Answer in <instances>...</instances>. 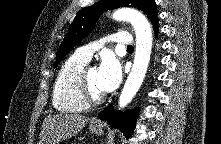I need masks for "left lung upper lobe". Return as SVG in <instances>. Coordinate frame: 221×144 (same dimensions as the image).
<instances>
[{"label": "left lung upper lobe", "instance_id": "5c2ea615", "mask_svg": "<svg viewBox=\"0 0 221 144\" xmlns=\"http://www.w3.org/2000/svg\"><path fill=\"white\" fill-rule=\"evenodd\" d=\"M119 7H134L143 11L154 23L157 18L154 0H100L92 6L81 9L70 25L62 44L59 47L55 66L69 53L74 45L86 37L102 12Z\"/></svg>", "mask_w": 221, "mask_h": 144}]
</instances>
